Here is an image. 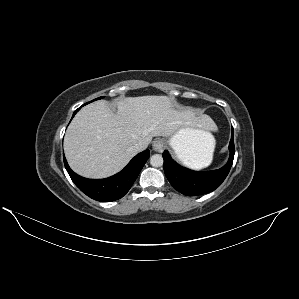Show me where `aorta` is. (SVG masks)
<instances>
[{
	"mask_svg": "<svg viewBox=\"0 0 299 299\" xmlns=\"http://www.w3.org/2000/svg\"><path fill=\"white\" fill-rule=\"evenodd\" d=\"M164 163L163 157L160 154H154L150 158V164L153 167H160Z\"/></svg>",
	"mask_w": 299,
	"mask_h": 299,
	"instance_id": "aorta-1",
	"label": "aorta"
}]
</instances>
